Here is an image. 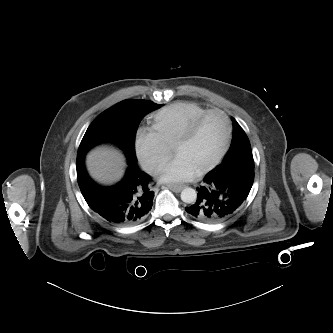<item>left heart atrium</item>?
I'll use <instances>...</instances> for the list:
<instances>
[{
	"label": "left heart atrium",
	"instance_id": "obj_1",
	"mask_svg": "<svg viewBox=\"0 0 333 333\" xmlns=\"http://www.w3.org/2000/svg\"><path fill=\"white\" fill-rule=\"evenodd\" d=\"M196 170L180 154H175L159 170L160 180L168 183H180L194 178Z\"/></svg>",
	"mask_w": 333,
	"mask_h": 333
}]
</instances>
